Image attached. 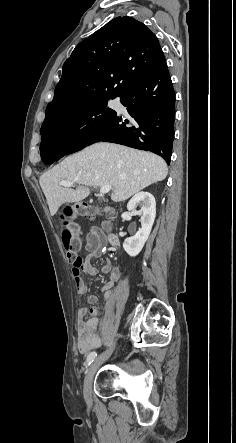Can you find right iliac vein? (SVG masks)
Instances as JSON below:
<instances>
[{
	"label": "right iliac vein",
	"instance_id": "1",
	"mask_svg": "<svg viewBox=\"0 0 236 443\" xmlns=\"http://www.w3.org/2000/svg\"><path fill=\"white\" fill-rule=\"evenodd\" d=\"M114 348L115 345H112L110 348L105 350L102 354H100L96 359L93 360L90 367L88 368L83 384V393L85 397L91 396L94 375L99 366L111 356Z\"/></svg>",
	"mask_w": 236,
	"mask_h": 443
}]
</instances>
